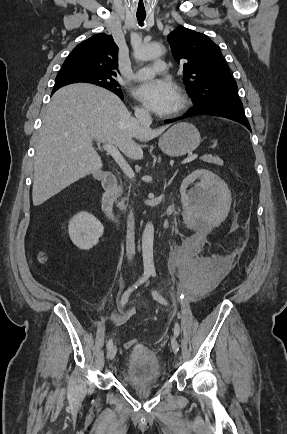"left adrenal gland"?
Masks as SVG:
<instances>
[{
  "label": "left adrenal gland",
  "mask_w": 287,
  "mask_h": 434,
  "mask_svg": "<svg viewBox=\"0 0 287 434\" xmlns=\"http://www.w3.org/2000/svg\"><path fill=\"white\" fill-rule=\"evenodd\" d=\"M176 174H177V171L174 173L173 177L169 180L168 185H170L172 183V181L175 178Z\"/></svg>",
  "instance_id": "1"
}]
</instances>
